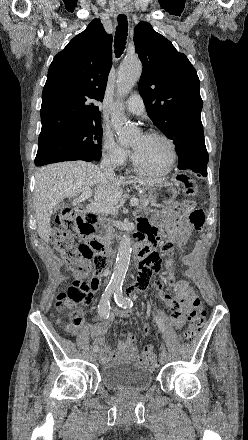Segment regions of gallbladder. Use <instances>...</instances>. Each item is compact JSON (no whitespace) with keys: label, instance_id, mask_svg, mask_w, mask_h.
Returning a JSON list of instances; mask_svg holds the SVG:
<instances>
[{"label":"gallbladder","instance_id":"bac80fb5","mask_svg":"<svg viewBox=\"0 0 248 440\" xmlns=\"http://www.w3.org/2000/svg\"><path fill=\"white\" fill-rule=\"evenodd\" d=\"M62 206H64V204H63V203H59V204L56 206L55 210L60 209Z\"/></svg>","mask_w":248,"mask_h":440}]
</instances>
